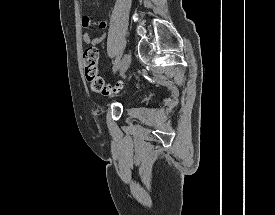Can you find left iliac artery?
I'll list each match as a JSON object with an SVG mask.
<instances>
[{
    "label": "left iliac artery",
    "mask_w": 275,
    "mask_h": 215,
    "mask_svg": "<svg viewBox=\"0 0 275 215\" xmlns=\"http://www.w3.org/2000/svg\"><path fill=\"white\" fill-rule=\"evenodd\" d=\"M119 66H120V61H119V59H116L114 62V66H113V72H116L118 70Z\"/></svg>",
    "instance_id": "left-iliac-artery-1"
}]
</instances>
